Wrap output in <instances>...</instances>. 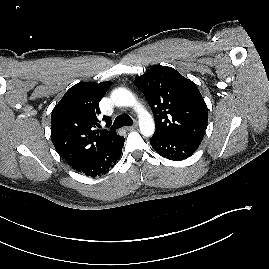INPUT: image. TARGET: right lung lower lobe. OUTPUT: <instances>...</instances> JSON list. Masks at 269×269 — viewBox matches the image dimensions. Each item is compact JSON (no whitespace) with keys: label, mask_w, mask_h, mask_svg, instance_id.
I'll list each match as a JSON object with an SVG mask.
<instances>
[{"label":"right lung lower lobe","mask_w":269,"mask_h":269,"mask_svg":"<svg viewBox=\"0 0 269 269\" xmlns=\"http://www.w3.org/2000/svg\"><path fill=\"white\" fill-rule=\"evenodd\" d=\"M123 145L124 137L118 136L110 145L103 147L74 169L91 177L106 174L118 162Z\"/></svg>","instance_id":"right-lung-lower-lobe-1"}]
</instances>
